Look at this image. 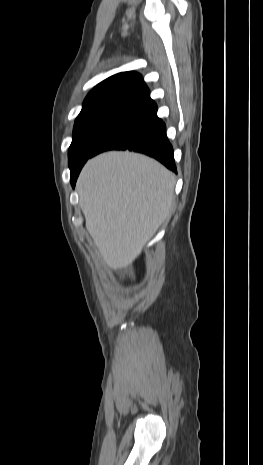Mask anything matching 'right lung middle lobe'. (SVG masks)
Returning a JSON list of instances; mask_svg holds the SVG:
<instances>
[{
    "mask_svg": "<svg viewBox=\"0 0 263 465\" xmlns=\"http://www.w3.org/2000/svg\"><path fill=\"white\" fill-rule=\"evenodd\" d=\"M138 103L136 100H104L83 105L69 148L70 171L84 165L103 137Z\"/></svg>",
    "mask_w": 263,
    "mask_h": 465,
    "instance_id": "dd1d6c3e",
    "label": "right lung middle lobe"
}]
</instances>
